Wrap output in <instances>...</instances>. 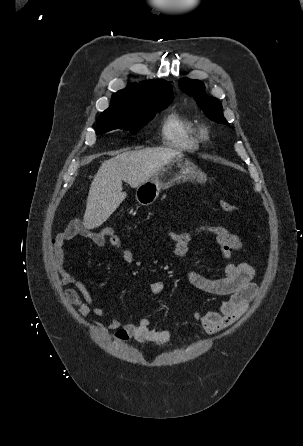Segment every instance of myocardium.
Instances as JSON below:
<instances>
[{"label": "myocardium", "mask_w": 303, "mask_h": 446, "mask_svg": "<svg viewBox=\"0 0 303 446\" xmlns=\"http://www.w3.org/2000/svg\"><path fill=\"white\" fill-rule=\"evenodd\" d=\"M199 135L201 139H208L209 137V129L206 126H202L199 128Z\"/></svg>", "instance_id": "obj_1"}]
</instances>
